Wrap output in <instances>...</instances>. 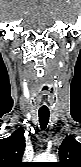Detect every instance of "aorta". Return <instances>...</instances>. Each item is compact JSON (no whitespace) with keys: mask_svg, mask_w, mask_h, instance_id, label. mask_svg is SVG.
<instances>
[{"mask_svg":"<svg viewBox=\"0 0 81 167\" xmlns=\"http://www.w3.org/2000/svg\"><path fill=\"white\" fill-rule=\"evenodd\" d=\"M35 160L37 162H56L57 158L54 154L44 153L36 156Z\"/></svg>","mask_w":81,"mask_h":167,"instance_id":"obj_1","label":"aorta"}]
</instances>
